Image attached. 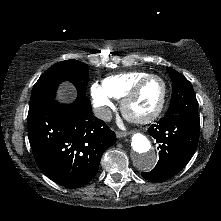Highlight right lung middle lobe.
Masks as SVG:
<instances>
[{
  "mask_svg": "<svg viewBox=\"0 0 221 221\" xmlns=\"http://www.w3.org/2000/svg\"><path fill=\"white\" fill-rule=\"evenodd\" d=\"M88 80L89 67L78 60L71 59L52 65L32 89L28 118L33 117L45 103L55 98L56 89L61 82L69 81L78 92L86 94Z\"/></svg>",
  "mask_w": 221,
  "mask_h": 221,
  "instance_id": "dd1d6c3e",
  "label": "right lung middle lobe"
}]
</instances>
